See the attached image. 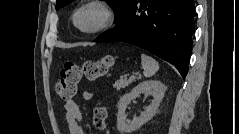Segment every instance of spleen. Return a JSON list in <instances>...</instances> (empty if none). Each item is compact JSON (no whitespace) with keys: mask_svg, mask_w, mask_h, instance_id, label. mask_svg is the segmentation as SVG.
<instances>
[{"mask_svg":"<svg viewBox=\"0 0 239 134\" xmlns=\"http://www.w3.org/2000/svg\"><path fill=\"white\" fill-rule=\"evenodd\" d=\"M141 64L144 69V76L146 78L152 77L159 69L158 62L146 54H141Z\"/></svg>","mask_w":239,"mask_h":134,"instance_id":"obj_1","label":"spleen"}]
</instances>
